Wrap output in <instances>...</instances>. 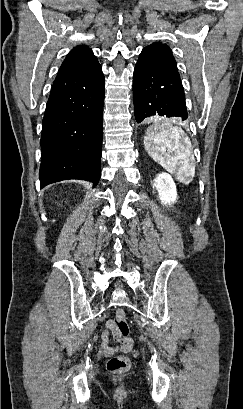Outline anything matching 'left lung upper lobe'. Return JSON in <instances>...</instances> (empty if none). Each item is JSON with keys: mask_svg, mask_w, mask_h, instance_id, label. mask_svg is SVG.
Masks as SVG:
<instances>
[{"mask_svg": "<svg viewBox=\"0 0 243 409\" xmlns=\"http://www.w3.org/2000/svg\"><path fill=\"white\" fill-rule=\"evenodd\" d=\"M138 63L155 66L179 75L175 58L166 44L153 43L146 46L139 56Z\"/></svg>", "mask_w": 243, "mask_h": 409, "instance_id": "5c2ea615", "label": "left lung upper lobe"}]
</instances>
